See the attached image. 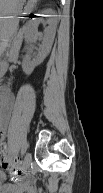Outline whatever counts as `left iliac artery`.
I'll return each mask as SVG.
<instances>
[{
    "label": "left iliac artery",
    "instance_id": "left-iliac-artery-1",
    "mask_svg": "<svg viewBox=\"0 0 103 193\" xmlns=\"http://www.w3.org/2000/svg\"><path fill=\"white\" fill-rule=\"evenodd\" d=\"M26 150H27V144L24 143V144L22 145V147H21V154L24 155L25 152H26Z\"/></svg>",
    "mask_w": 103,
    "mask_h": 193
}]
</instances>
